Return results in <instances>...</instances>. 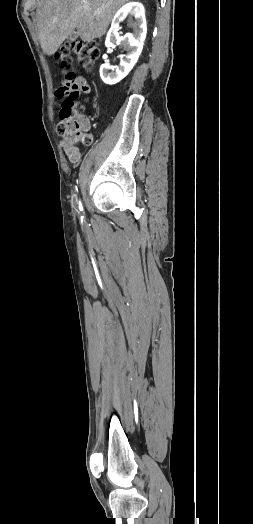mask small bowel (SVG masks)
Returning a JSON list of instances; mask_svg holds the SVG:
<instances>
[{
    "label": "small bowel",
    "mask_w": 253,
    "mask_h": 524,
    "mask_svg": "<svg viewBox=\"0 0 253 524\" xmlns=\"http://www.w3.org/2000/svg\"><path fill=\"white\" fill-rule=\"evenodd\" d=\"M88 95H83L85 97L84 98L85 101L88 100V98H87ZM54 96L56 98H61L63 96V91L61 89H56L54 91ZM84 128L85 129L88 128L87 122H84ZM61 145H62V149H63L64 153L68 156V158L70 159L71 162L78 163L80 161V159H81V152L77 148L71 146L65 139L62 140Z\"/></svg>",
    "instance_id": "obj_1"
}]
</instances>
